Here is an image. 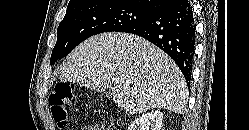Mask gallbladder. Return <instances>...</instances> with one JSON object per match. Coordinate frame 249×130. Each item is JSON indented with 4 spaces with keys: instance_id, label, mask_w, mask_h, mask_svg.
Segmentation results:
<instances>
[{
    "instance_id": "gallbladder-1",
    "label": "gallbladder",
    "mask_w": 249,
    "mask_h": 130,
    "mask_svg": "<svg viewBox=\"0 0 249 130\" xmlns=\"http://www.w3.org/2000/svg\"><path fill=\"white\" fill-rule=\"evenodd\" d=\"M106 95H107L108 97H111V96H112V93H111V92H107Z\"/></svg>"
}]
</instances>
